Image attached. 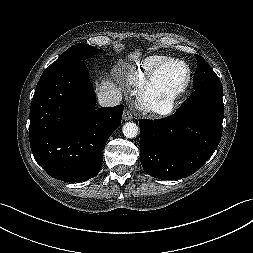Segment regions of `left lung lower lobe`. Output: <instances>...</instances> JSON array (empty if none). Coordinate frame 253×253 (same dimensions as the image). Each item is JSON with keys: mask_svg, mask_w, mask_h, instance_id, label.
<instances>
[{"mask_svg": "<svg viewBox=\"0 0 253 253\" xmlns=\"http://www.w3.org/2000/svg\"><path fill=\"white\" fill-rule=\"evenodd\" d=\"M222 96L223 90L200 88L175 114L139 121L140 160L147 174L176 180L195 173L204 165L221 139Z\"/></svg>", "mask_w": 253, "mask_h": 253, "instance_id": "obj_1", "label": "left lung lower lobe"}]
</instances>
